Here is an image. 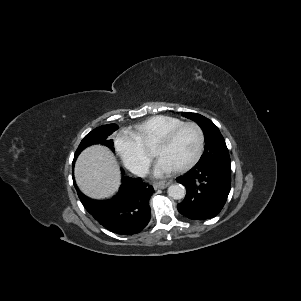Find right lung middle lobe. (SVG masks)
Here are the masks:
<instances>
[{"label": "right lung middle lobe", "mask_w": 301, "mask_h": 301, "mask_svg": "<svg viewBox=\"0 0 301 301\" xmlns=\"http://www.w3.org/2000/svg\"><path fill=\"white\" fill-rule=\"evenodd\" d=\"M118 129V126L115 124H109V125H104L99 128H96L92 130L89 134H87L83 140L81 141L80 145L78 146L75 157H74V162L78 155L81 153L83 149L86 147L92 145V144H103L107 147H109L112 151H114L113 148V140L109 139L108 136L111 135L114 131Z\"/></svg>", "instance_id": "dd1d6c3e"}]
</instances>
